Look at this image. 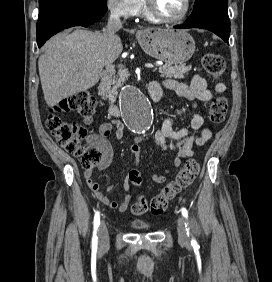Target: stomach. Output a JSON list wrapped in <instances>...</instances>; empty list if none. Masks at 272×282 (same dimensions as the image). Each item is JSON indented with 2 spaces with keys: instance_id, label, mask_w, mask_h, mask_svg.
Wrapping results in <instances>:
<instances>
[{
  "instance_id": "0dacf381",
  "label": "stomach",
  "mask_w": 272,
  "mask_h": 282,
  "mask_svg": "<svg viewBox=\"0 0 272 282\" xmlns=\"http://www.w3.org/2000/svg\"><path fill=\"white\" fill-rule=\"evenodd\" d=\"M142 49L166 64H182L195 51V41L185 30L172 28H146L136 33Z\"/></svg>"
}]
</instances>
